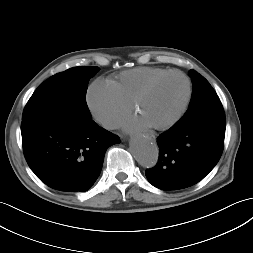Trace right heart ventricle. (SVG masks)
<instances>
[{"mask_svg": "<svg viewBox=\"0 0 253 253\" xmlns=\"http://www.w3.org/2000/svg\"><path fill=\"white\" fill-rule=\"evenodd\" d=\"M168 69L159 67H136L119 73L109 82L120 97L131 105L136 94L153 78L165 73Z\"/></svg>", "mask_w": 253, "mask_h": 253, "instance_id": "right-heart-ventricle-1", "label": "right heart ventricle"}]
</instances>
